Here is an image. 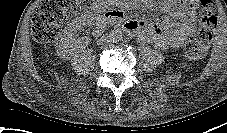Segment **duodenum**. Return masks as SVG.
<instances>
[{"label": "duodenum", "instance_id": "410a0bca", "mask_svg": "<svg viewBox=\"0 0 227 133\" xmlns=\"http://www.w3.org/2000/svg\"><path fill=\"white\" fill-rule=\"evenodd\" d=\"M100 23L105 25H114L117 28L134 33L131 24L129 22L123 21V15L117 11L106 12Z\"/></svg>", "mask_w": 227, "mask_h": 133}]
</instances>
